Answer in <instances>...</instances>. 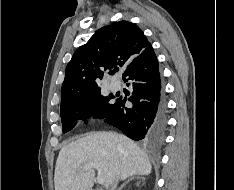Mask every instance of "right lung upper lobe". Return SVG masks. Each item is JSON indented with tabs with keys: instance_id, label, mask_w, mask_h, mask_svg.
I'll return each mask as SVG.
<instances>
[{
	"instance_id": "cb5924a9",
	"label": "right lung upper lobe",
	"mask_w": 234,
	"mask_h": 190,
	"mask_svg": "<svg viewBox=\"0 0 234 190\" xmlns=\"http://www.w3.org/2000/svg\"><path fill=\"white\" fill-rule=\"evenodd\" d=\"M150 45L134 23L119 21L102 27L76 50L68 63L61 104L100 89L98 82L105 70H112L117 65L127 68Z\"/></svg>"
}]
</instances>
